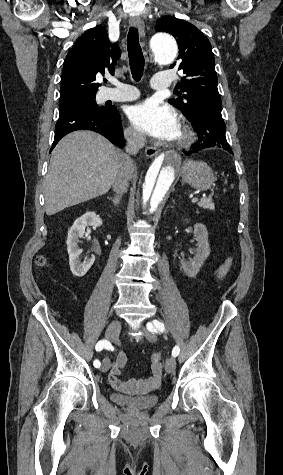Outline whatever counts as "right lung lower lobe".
Returning <instances> with one entry per match:
<instances>
[{
	"label": "right lung lower lobe",
	"mask_w": 283,
	"mask_h": 475,
	"mask_svg": "<svg viewBox=\"0 0 283 475\" xmlns=\"http://www.w3.org/2000/svg\"><path fill=\"white\" fill-rule=\"evenodd\" d=\"M105 108L104 111H97L81 104L60 108L59 119L55 126V138L50 151L63 136L76 130L95 131L113 144L122 146L125 141L119 112L115 106Z\"/></svg>",
	"instance_id": "1"
}]
</instances>
